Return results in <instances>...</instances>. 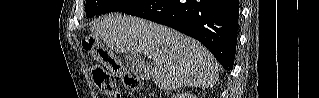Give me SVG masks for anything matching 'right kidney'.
Instances as JSON below:
<instances>
[{
    "instance_id": "ca27d5eb",
    "label": "right kidney",
    "mask_w": 319,
    "mask_h": 98,
    "mask_svg": "<svg viewBox=\"0 0 319 98\" xmlns=\"http://www.w3.org/2000/svg\"><path fill=\"white\" fill-rule=\"evenodd\" d=\"M178 98H191V96L187 94H181L180 96H178Z\"/></svg>"
}]
</instances>
